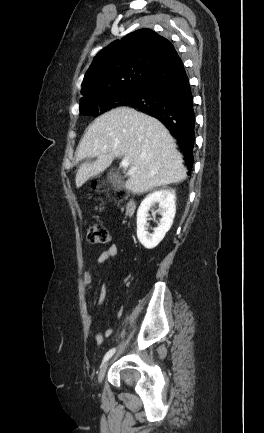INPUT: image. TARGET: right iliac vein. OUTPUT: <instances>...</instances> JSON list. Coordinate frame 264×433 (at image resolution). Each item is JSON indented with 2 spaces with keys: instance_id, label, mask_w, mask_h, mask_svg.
<instances>
[{
  "instance_id": "1",
  "label": "right iliac vein",
  "mask_w": 264,
  "mask_h": 433,
  "mask_svg": "<svg viewBox=\"0 0 264 433\" xmlns=\"http://www.w3.org/2000/svg\"><path fill=\"white\" fill-rule=\"evenodd\" d=\"M108 365H109V362L107 361V362H105V363L101 366V368H100V370H99V373H98V382H99V383L102 382V380H103V378H104V376H105V373H106V371H107Z\"/></svg>"
}]
</instances>
